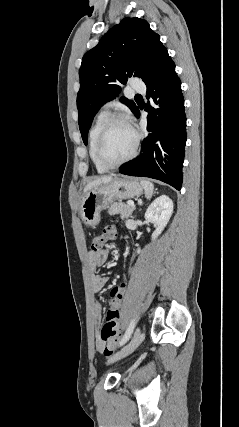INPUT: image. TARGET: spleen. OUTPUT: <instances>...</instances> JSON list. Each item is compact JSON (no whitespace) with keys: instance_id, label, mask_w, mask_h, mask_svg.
I'll return each instance as SVG.
<instances>
[{"instance_id":"1","label":"spleen","mask_w":239,"mask_h":427,"mask_svg":"<svg viewBox=\"0 0 239 427\" xmlns=\"http://www.w3.org/2000/svg\"><path fill=\"white\" fill-rule=\"evenodd\" d=\"M144 191H145V197L147 199H150L152 197L153 191H154V185L149 180H141L140 181Z\"/></svg>"}]
</instances>
